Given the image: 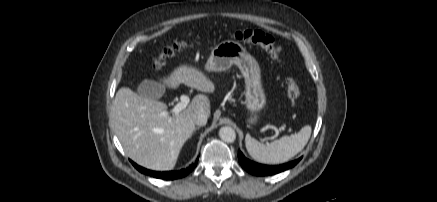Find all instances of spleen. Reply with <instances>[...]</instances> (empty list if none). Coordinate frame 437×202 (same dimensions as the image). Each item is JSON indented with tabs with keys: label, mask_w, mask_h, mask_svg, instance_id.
Returning a JSON list of instances; mask_svg holds the SVG:
<instances>
[{
	"label": "spleen",
	"mask_w": 437,
	"mask_h": 202,
	"mask_svg": "<svg viewBox=\"0 0 437 202\" xmlns=\"http://www.w3.org/2000/svg\"><path fill=\"white\" fill-rule=\"evenodd\" d=\"M311 126H304L298 133L283 136L264 145L249 134L245 137V145L249 155L256 161L266 164L287 162L303 150L311 136Z\"/></svg>",
	"instance_id": "1"
}]
</instances>
